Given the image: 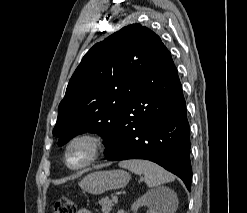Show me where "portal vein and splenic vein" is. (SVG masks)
<instances>
[{"label": "portal vein and splenic vein", "mask_w": 247, "mask_h": 213, "mask_svg": "<svg viewBox=\"0 0 247 213\" xmlns=\"http://www.w3.org/2000/svg\"><path fill=\"white\" fill-rule=\"evenodd\" d=\"M112 199H113V200H117V199H118L117 194H114V195L112 196Z\"/></svg>", "instance_id": "portal-vein-and-splenic-vein-1"}]
</instances>
